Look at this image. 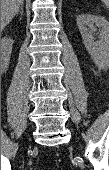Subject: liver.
Listing matches in <instances>:
<instances>
[{
    "mask_svg": "<svg viewBox=\"0 0 109 170\" xmlns=\"http://www.w3.org/2000/svg\"><path fill=\"white\" fill-rule=\"evenodd\" d=\"M24 0H1V28H5L20 9Z\"/></svg>",
    "mask_w": 109,
    "mask_h": 170,
    "instance_id": "liver-1",
    "label": "liver"
}]
</instances>
